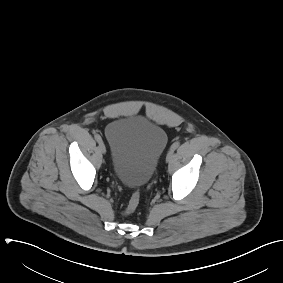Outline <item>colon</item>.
I'll use <instances>...</instances> for the list:
<instances>
[{
	"instance_id": "5ec220e1",
	"label": "colon",
	"mask_w": 283,
	"mask_h": 283,
	"mask_svg": "<svg viewBox=\"0 0 283 283\" xmlns=\"http://www.w3.org/2000/svg\"><path fill=\"white\" fill-rule=\"evenodd\" d=\"M139 201H140V192L135 191L132 194V196H131V198L128 202V205L124 210V214L128 215V214L133 213L137 209V207L139 205Z\"/></svg>"
}]
</instances>
